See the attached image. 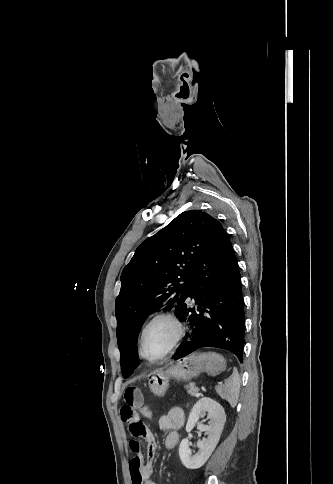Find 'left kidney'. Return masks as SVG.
<instances>
[{
	"instance_id": "5707ae66",
	"label": "left kidney",
	"mask_w": 333,
	"mask_h": 484,
	"mask_svg": "<svg viewBox=\"0 0 333 484\" xmlns=\"http://www.w3.org/2000/svg\"><path fill=\"white\" fill-rule=\"evenodd\" d=\"M205 412H207V418L210 422L209 425L198 424L200 431L207 434L206 439L197 443L198 452L192 455L189 449V441L186 438L181 441L179 446L180 459L188 469H198L205 464L219 442L226 421L224 408L213 399L203 397L196 402L189 414L186 425L187 432L194 428L199 418L205 415Z\"/></svg>"
}]
</instances>
